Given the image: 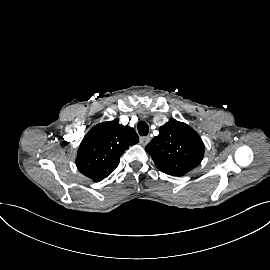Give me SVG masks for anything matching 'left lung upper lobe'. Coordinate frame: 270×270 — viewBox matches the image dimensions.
Wrapping results in <instances>:
<instances>
[{"label": "left lung upper lobe", "instance_id": "1", "mask_svg": "<svg viewBox=\"0 0 270 270\" xmlns=\"http://www.w3.org/2000/svg\"><path fill=\"white\" fill-rule=\"evenodd\" d=\"M145 150L156 167L169 175L182 176L197 167L205 147L200 136L187 124L170 119Z\"/></svg>", "mask_w": 270, "mask_h": 270}]
</instances>
